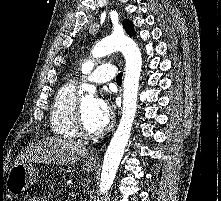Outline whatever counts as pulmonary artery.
<instances>
[{"label": "pulmonary artery", "instance_id": "pulmonary-artery-1", "mask_svg": "<svg viewBox=\"0 0 221 201\" xmlns=\"http://www.w3.org/2000/svg\"><path fill=\"white\" fill-rule=\"evenodd\" d=\"M116 76V67L110 63H105L97 67L91 74H89L86 77V80L102 84L113 80L114 78H116Z\"/></svg>", "mask_w": 221, "mask_h": 201}]
</instances>
